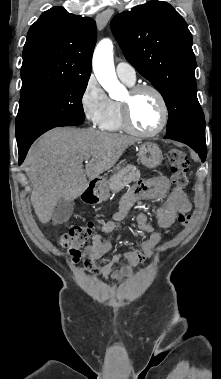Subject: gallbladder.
I'll return each instance as SVG.
<instances>
[{
    "instance_id": "obj_1",
    "label": "gallbladder",
    "mask_w": 221,
    "mask_h": 379,
    "mask_svg": "<svg viewBox=\"0 0 221 379\" xmlns=\"http://www.w3.org/2000/svg\"><path fill=\"white\" fill-rule=\"evenodd\" d=\"M74 210V202L61 198L52 213V220L54 224H62L66 222L72 215Z\"/></svg>"
}]
</instances>
